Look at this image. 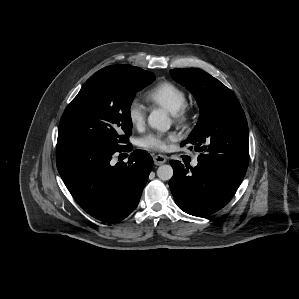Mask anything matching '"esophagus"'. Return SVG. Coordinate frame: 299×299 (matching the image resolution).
<instances>
[{
  "label": "esophagus",
  "instance_id": "34e87169",
  "mask_svg": "<svg viewBox=\"0 0 299 299\" xmlns=\"http://www.w3.org/2000/svg\"><path fill=\"white\" fill-rule=\"evenodd\" d=\"M153 160H154L155 165H162V164L166 163V161H167L166 157L163 155H160V154L155 155L153 157Z\"/></svg>",
  "mask_w": 299,
  "mask_h": 299
}]
</instances>
